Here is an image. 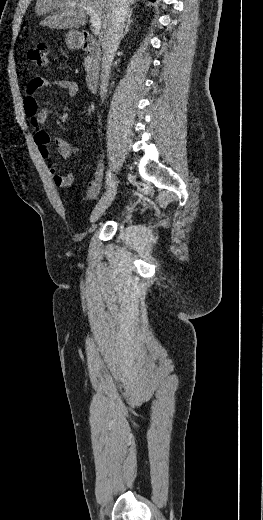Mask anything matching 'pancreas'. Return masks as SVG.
Returning <instances> with one entry per match:
<instances>
[{
    "label": "pancreas",
    "instance_id": "cf45deb5",
    "mask_svg": "<svg viewBox=\"0 0 263 520\" xmlns=\"http://www.w3.org/2000/svg\"><path fill=\"white\" fill-rule=\"evenodd\" d=\"M84 66H85V68H87L89 66V59L88 58L85 59Z\"/></svg>",
    "mask_w": 263,
    "mask_h": 520
}]
</instances>
